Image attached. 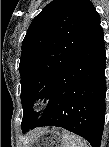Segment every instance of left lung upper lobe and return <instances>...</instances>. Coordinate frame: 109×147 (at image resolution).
<instances>
[{
    "instance_id": "5c2ea615",
    "label": "left lung upper lobe",
    "mask_w": 109,
    "mask_h": 147,
    "mask_svg": "<svg viewBox=\"0 0 109 147\" xmlns=\"http://www.w3.org/2000/svg\"><path fill=\"white\" fill-rule=\"evenodd\" d=\"M99 25V14L89 0H54L33 19L19 64L22 129L39 118L32 102L49 99L62 68Z\"/></svg>"
}]
</instances>
